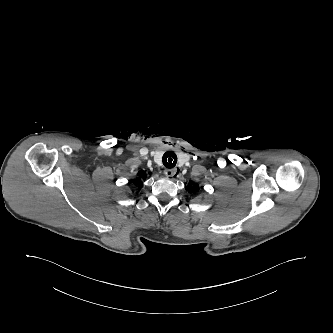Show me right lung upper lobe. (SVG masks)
I'll list each match as a JSON object with an SVG mask.
<instances>
[{
    "label": "right lung upper lobe",
    "instance_id": "right-lung-upper-lobe-1",
    "mask_svg": "<svg viewBox=\"0 0 333 333\" xmlns=\"http://www.w3.org/2000/svg\"><path fill=\"white\" fill-rule=\"evenodd\" d=\"M137 175L139 177H146V173L144 171H139Z\"/></svg>",
    "mask_w": 333,
    "mask_h": 333
}]
</instances>
